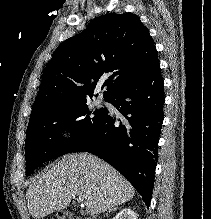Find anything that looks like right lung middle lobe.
<instances>
[{"mask_svg": "<svg viewBox=\"0 0 211 219\" xmlns=\"http://www.w3.org/2000/svg\"><path fill=\"white\" fill-rule=\"evenodd\" d=\"M106 112V108L91 110L85 98L30 119L25 141L26 175L44 162L69 153L96 127ZM91 114L94 117H90ZM64 130L72 133L71 138L62 137Z\"/></svg>", "mask_w": 211, "mask_h": 219, "instance_id": "obj_1", "label": "right lung middle lobe"}]
</instances>
